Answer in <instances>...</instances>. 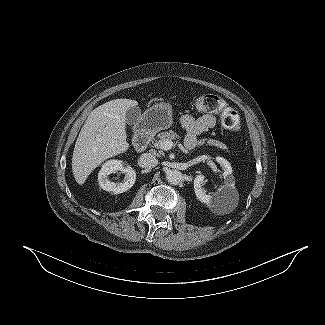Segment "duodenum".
Returning a JSON list of instances; mask_svg holds the SVG:
<instances>
[{"label": "duodenum", "instance_id": "obj_1", "mask_svg": "<svg viewBox=\"0 0 325 325\" xmlns=\"http://www.w3.org/2000/svg\"><path fill=\"white\" fill-rule=\"evenodd\" d=\"M152 134L150 132H141L134 139V146L137 150L143 151L148 146Z\"/></svg>", "mask_w": 325, "mask_h": 325}]
</instances>
